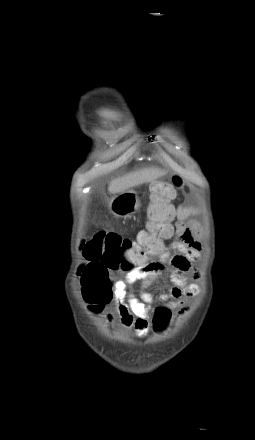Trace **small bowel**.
Wrapping results in <instances>:
<instances>
[{
    "label": "small bowel",
    "mask_w": 255,
    "mask_h": 440,
    "mask_svg": "<svg viewBox=\"0 0 255 440\" xmlns=\"http://www.w3.org/2000/svg\"><path fill=\"white\" fill-rule=\"evenodd\" d=\"M196 213L197 209L193 207L177 208L179 222L175 233L178 239L167 248L175 251L173 255L169 256L166 253L162 261L136 268L125 278L113 283L111 298L113 297L116 302L120 323L125 328H133L139 338H144L149 333L150 319L156 311L153 302H164L166 308L178 309V316H182L188 310L187 300L199 293V285L196 281L199 280L200 273L195 266L201 258V246L195 236L198 224L193 221L187 225L183 224V221ZM172 234L171 232L170 236ZM85 269L86 265L82 267V274ZM188 273L192 274L194 282H187ZM167 275L170 276L171 286L157 299L148 293H143L139 297L130 293L131 286L135 282L142 281L145 285H149L152 281ZM105 319L109 325L113 324L114 317L111 313H108Z\"/></svg>",
    "instance_id": "small-bowel-1"
}]
</instances>
